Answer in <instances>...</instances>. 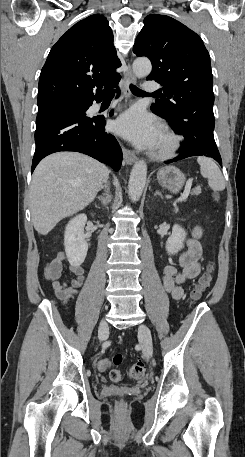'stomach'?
Wrapping results in <instances>:
<instances>
[{
	"instance_id": "1",
	"label": "stomach",
	"mask_w": 245,
	"mask_h": 457,
	"mask_svg": "<svg viewBox=\"0 0 245 457\" xmlns=\"http://www.w3.org/2000/svg\"><path fill=\"white\" fill-rule=\"evenodd\" d=\"M157 180L161 186H165L171 192H179L186 180V176L177 166H162L157 172Z\"/></svg>"
}]
</instances>
